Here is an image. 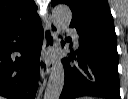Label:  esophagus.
I'll list each match as a JSON object with an SVG mask.
<instances>
[{"mask_svg": "<svg viewBox=\"0 0 128 99\" xmlns=\"http://www.w3.org/2000/svg\"><path fill=\"white\" fill-rule=\"evenodd\" d=\"M57 32L58 28L56 24L51 18H49L44 31V41L40 57V74L42 78L49 74L53 64L52 58L50 57L49 53L57 46Z\"/></svg>", "mask_w": 128, "mask_h": 99, "instance_id": "esophagus-1", "label": "esophagus"}]
</instances>
